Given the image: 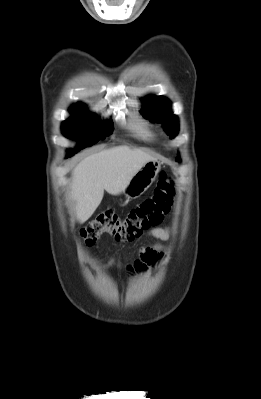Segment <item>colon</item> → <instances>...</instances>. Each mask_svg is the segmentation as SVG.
I'll return each mask as SVG.
<instances>
[{
	"instance_id": "5ec220e1",
	"label": "colon",
	"mask_w": 261,
	"mask_h": 399,
	"mask_svg": "<svg viewBox=\"0 0 261 399\" xmlns=\"http://www.w3.org/2000/svg\"><path fill=\"white\" fill-rule=\"evenodd\" d=\"M174 195L173 184L162 172L151 197L121 217L114 212H104L82 228L81 236L87 246H92L104 234L117 242H132L150 228L158 226L168 213Z\"/></svg>"
}]
</instances>
